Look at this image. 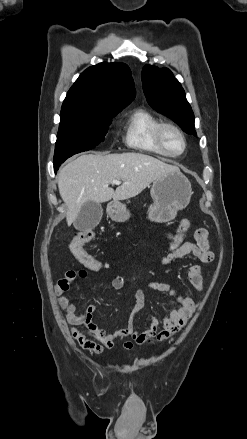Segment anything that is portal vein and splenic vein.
<instances>
[{
    "instance_id": "portal-vein-and-splenic-vein-1",
    "label": "portal vein and splenic vein",
    "mask_w": 247,
    "mask_h": 439,
    "mask_svg": "<svg viewBox=\"0 0 247 439\" xmlns=\"http://www.w3.org/2000/svg\"><path fill=\"white\" fill-rule=\"evenodd\" d=\"M112 184H116V185H119V184H121L122 183V181H119V180H116V179H114V180H112V182H111Z\"/></svg>"
}]
</instances>
